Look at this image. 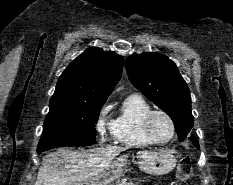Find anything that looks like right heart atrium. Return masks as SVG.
<instances>
[{"mask_svg":"<svg viewBox=\"0 0 233 185\" xmlns=\"http://www.w3.org/2000/svg\"><path fill=\"white\" fill-rule=\"evenodd\" d=\"M95 130L102 140L107 139L113 134V121L109 118L105 108H102L94 123Z\"/></svg>","mask_w":233,"mask_h":185,"instance_id":"d8ad5b80","label":"right heart atrium"}]
</instances>
